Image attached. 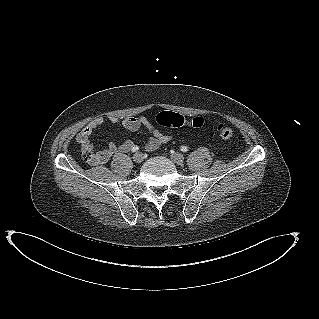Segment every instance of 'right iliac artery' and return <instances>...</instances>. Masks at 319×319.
Instances as JSON below:
<instances>
[{"label": "right iliac artery", "mask_w": 319, "mask_h": 319, "mask_svg": "<svg viewBox=\"0 0 319 319\" xmlns=\"http://www.w3.org/2000/svg\"><path fill=\"white\" fill-rule=\"evenodd\" d=\"M139 150V147L138 146H134L133 148H132V152H136V151H138Z\"/></svg>", "instance_id": "right-iliac-artery-1"}]
</instances>
